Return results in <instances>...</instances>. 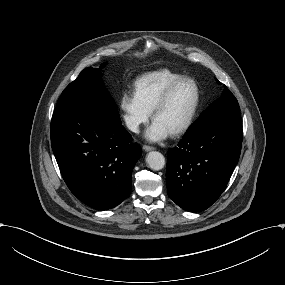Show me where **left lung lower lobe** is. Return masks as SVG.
Returning <instances> with one entry per match:
<instances>
[{
    "instance_id": "left-lung-lower-lobe-1",
    "label": "left lung lower lobe",
    "mask_w": 285,
    "mask_h": 285,
    "mask_svg": "<svg viewBox=\"0 0 285 285\" xmlns=\"http://www.w3.org/2000/svg\"><path fill=\"white\" fill-rule=\"evenodd\" d=\"M242 135L239 109L213 114L189 128L177 147L168 151L169 197L190 212L210 207L238 163Z\"/></svg>"
}]
</instances>
